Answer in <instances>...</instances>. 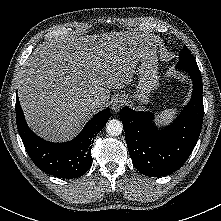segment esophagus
I'll list each match as a JSON object with an SVG mask.
<instances>
[{
    "mask_svg": "<svg viewBox=\"0 0 221 221\" xmlns=\"http://www.w3.org/2000/svg\"><path fill=\"white\" fill-rule=\"evenodd\" d=\"M125 104V100L122 96H116L111 100V108L113 112L117 113Z\"/></svg>",
    "mask_w": 221,
    "mask_h": 221,
    "instance_id": "esophagus-1",
    "label": "esophagus"
}]
</instances>
